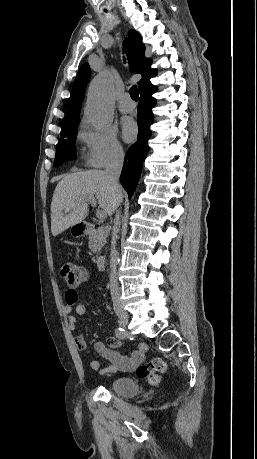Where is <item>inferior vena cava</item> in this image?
<instances>
[{
    "label": "inferior vena cava",
    "mask_w": 257,
    "mask_h": 459,
    "mask_svg": "<svg viewBox=\"0 0 257 459\" xmlns=\"http://www.w3.org/2000/svg\"><path fill=\"white\" fill-rule=\"evenodd\" d=\"M124 161V153L122 148H115L108 159V164L105 170V173L109 179V183L111 185L112 191L115 195V218H114V226L112 230V241H111V254H110V291L113 301L114 308L118 307L122 304V300L120 298V289L118 286V278H117V264L119 261V254L116 250V241H117V234L120 229V214L117 208L121 203V188L119 184V177L121 174V170L123 167Z\"/></svg>",
    "instance_id": "obj_1"
}]
</instances>
